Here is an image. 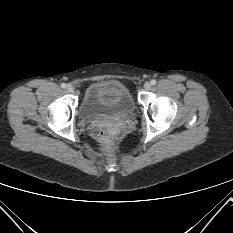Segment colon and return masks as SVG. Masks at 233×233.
Returning <instances> with one entry per match:
<instances>
[{
	"mask_svg": "<svg viewBox=\"0 0 233 233\" xmlns=\"http://www.w3.org/2000/svg\"><path fill=\"white\" fill-rule=\"evenodd\" d=\"M113 135H114V132L109 127H105L99 131V136L101 137V139L106 140V141L110 140L113 137Z\"/></svg>",
	"mask_w": 233,
	"mask_h": 233,
	"instance_id": "1",
	"label": "colon"
}]
</instances>
